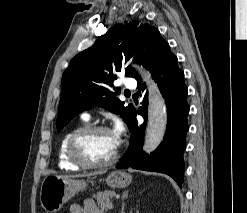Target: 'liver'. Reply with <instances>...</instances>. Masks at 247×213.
<instances>
[{
  "mask_svg": "<svg viewBox=\"0 0 247 213\" xmlns=\"http://www.w3.org/2000/svg\"><path fill=\"white\" fill-rule=\"evenodd\" d=\"M103 172H94V173H91V174H79V175H72V176H61L63 178H74V177H85V176H93V175H98V174H102Z\"/></svg>",
  "mask_w": 247,
  "mask_h": 213,
  "instance_id": "1",
  "label": "liver"
}]
</instances>
